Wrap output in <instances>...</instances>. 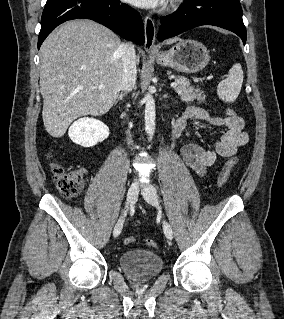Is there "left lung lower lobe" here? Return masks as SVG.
Masks as SVG:
<instances>
[{"label": "left lung lower lobe", "mask_w": 284, "mask_h": 319, "mask_svg": "<svg viewBox=\"0 0 284 319\" xmlns=\"http://www.w3.org/2000/svg\"><path fill=\"white\" fill-rule=\"evenodd\" d=\"M201 25H213L237 34L246 43L239 0H185L179 9L161 18L159 41Z\"/></svg>", "instance_id": "left-lung-lower-lobe-1"}]
</instances>
